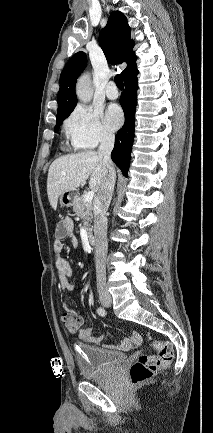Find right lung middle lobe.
Instances as JSON below:
<instances>
[{
    "label": "right lung middle lobe",
    "instance_id": "right-lung-middle-lobe-1",
    "mask_svg": "<svg viewBox=\"0 0 213 433\" xmlns=\"http://www.w3.org/2000/svg\"><path fill=\"white\" fill-rule=\"evenodd\" d=\"M70 115V113L68 114V115H66L65 117H63L62 119H59V120H57V122H56V126H55V132L58 130V128H59V125L61 124V122L66 118V117H68Z\"/></svg>",
    "mask_w": 213,
    "mask_h": 433
}]
</instances>
